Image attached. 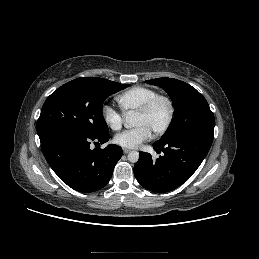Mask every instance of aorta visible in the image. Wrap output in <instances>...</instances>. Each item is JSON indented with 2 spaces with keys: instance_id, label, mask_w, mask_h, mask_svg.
<instances>
[{
  "instance_id": "1",
  "label": "aorta",
  "mask_w": 259,
  "mask_h": 259,
  "mask_svg": "<svg viewBox=\"0 0 259 259\" xmlns=\"http://www.w3.org/2000/svg\"><path fill=\"white\" fill-rule=\"evenodd\" d=\"M126 128H131L135 126V117L133 114H129L126 117V121L124 123ZM139 159V153L137 151H130L128 154V160L132 163H136Z\"/></svg>"
}]
</instances>
